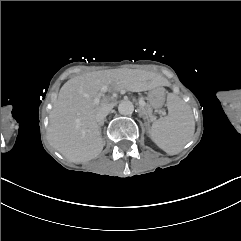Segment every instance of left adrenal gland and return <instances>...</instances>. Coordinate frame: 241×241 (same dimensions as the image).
Masks as SVG:
<instances>
[{"label": "left adrenal gland", "mask_w": 241, "mask_h": 241, "mask_svg": "<svg viewBox=\"0 0 241 241\" xmlns=\"http://www.w3.org/2000/svg\"><path fill=\"white\" fill-rule=\"evenodd\" d=\"M142 115H143V120L145 121V124L147 126H149V119H148V117L145 114H142Z\"/></svg>", "instance_id": "a2214340"}]
</instances>
